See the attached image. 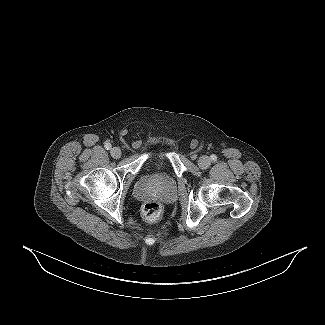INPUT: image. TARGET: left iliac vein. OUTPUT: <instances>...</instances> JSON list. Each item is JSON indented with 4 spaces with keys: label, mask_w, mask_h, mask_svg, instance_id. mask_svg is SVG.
<instances>
[{
    "label": "left iliac vein",
    "mask_w": 325,
    "mask_h": 325,
    "mask_svg": "<svg viewBox=\"0 0 325 325\" xmlns=\"http://www.w3.org/2000/svg\"><path fill=\"white\" fill-rule=\"evenodd\" d=\"M211 164V160L208 156H202L198 160V165L201 169H207Z\"/></svg>",
    "instance_id": "4c4485c4"
}]
</instances>
